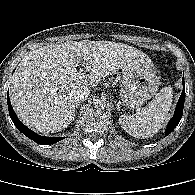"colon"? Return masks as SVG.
<instances>
[{
    "instance_id": "colon-1",
    "label": "colon",
    "mask_w": 195,
    "mask_h": 195,
    "mask_svg": "<svg viewBox=\"0 0 195 195\" xmlns=\"http://www.w3.org/2000/svg\"><path fill=\"white\" fill-rule=\"evenodd\" d=\"M165 62H166L167 64H172V63H173V60H172L171 57H166V58H165Z\"/></svg>"
}]
</instances>
